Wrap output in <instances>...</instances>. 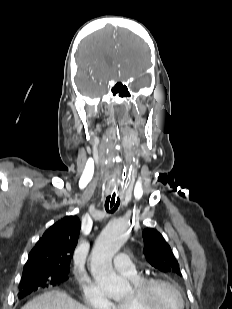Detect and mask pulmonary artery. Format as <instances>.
<instances>
[{"label":"pulmonary artery","instance_id":"pulmonary-artery-1","mask_svg":"<svg viewBox=\"0 0 232 309\" xmlns=\"http://www.w3.org/2000/svg\"><path fill=\"white\" fill-rule=\"evenodd\" d=\"M114 266L121 274L132 278L137 276V270L135 264L126 253H119L114 259Z\"/></svg>","mask_w":232,"mask_h":309}]
</instances>
